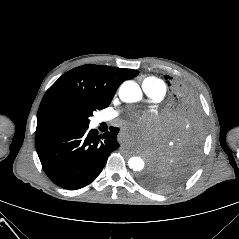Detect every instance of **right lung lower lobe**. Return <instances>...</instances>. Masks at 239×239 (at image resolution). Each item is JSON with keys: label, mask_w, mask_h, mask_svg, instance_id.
Segmentation results:
<instances>
[{"label": "right lung lower lobe", "mask_w": 239, "mask_h": 239, "mask_svg": "<svg viewBox=\"0 0 239 239\" xmlns=\"http://www.w3.org/2000/svg\"><path fill=\"white\" fill-rule=\"evenodd\" d=\"M81 125L35 137L43 170L58 186L76 190L90 184L102 171L111 152L119 147V128L103 135Z\"/></svg>", "instance_id": "right-lung-lower-lobe-1"}]
</instances>
